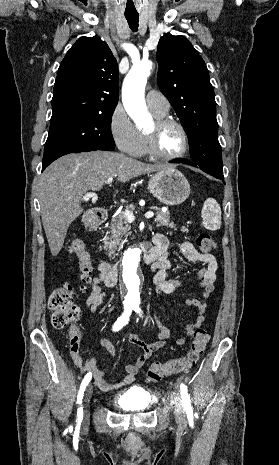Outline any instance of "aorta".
I'll list each match as a JSON object with an SVG mask.
<instances>
[{
  "label": "aorta",
  "mask_w": 279,
  "mask_h": 465,
  "mask_svg": "<svg viewBox=\"0 0 279 465\" xmlns=\"http://www.w3.org/2000/svg\"><path fill=\"white\" fill-rule=\"evenodd\" d=\"M151 68L150 61H142L133 65L122 86L124 108L137 126H141L149 116L144 91ZM140 254L141 250L138 247H131L124 253L122 260L121 281L126 292L125 299L132 303L137 302L140 296Z\"/></svg>",
  "instance_id": "obj_1"
}]
</instances>
